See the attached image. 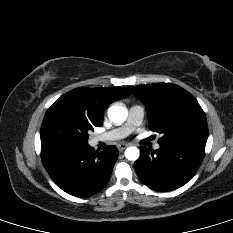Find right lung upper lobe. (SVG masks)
Masks as SVG:
<instances>
[{
	"mask_svg": "<svg viewBox=\"0 0 233 233\" xmlns=\"http://www.w3.org/2000/svg\"><path fill=\"white\" fill-rule=\"evenodd\" d=\"M131 93L123 87L75 88L63 96L71 105L89 119L103 122V112L107 106Z\"/></svg>",
	"mask_w": 233,
	"mask_h": 233,
	"instance_id": "right-lung-upper-lobe-1",
	"label": "right lung upper lobe"
}]
</instances>
